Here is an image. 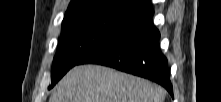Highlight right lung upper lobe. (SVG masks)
Masks as SVG:
<instances>
[{
    "label": "right lung upper lobe",
    "mask_w": 221,
    "mask_h": 102,
    "mask_svg": "<svg viewBox=\"0 0 221 102\" xmlns=\"http://www.w3.org/2000/svg\"><path fill=\"white\" fill-rule=\"evenodd\" d=\"M95 1H111L119 3L126 7L138 9L142 13L152 8L149 0H71L67 12Z\"/></svg>",
    "instance_id": "right-lung-upper-lobe-1"
}]
</instances>
